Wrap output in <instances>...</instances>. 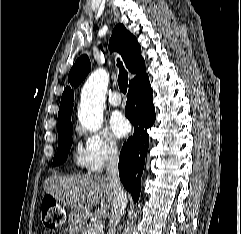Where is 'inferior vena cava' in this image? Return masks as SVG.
<instances>
[{"label":"inferior vena cava","instance_id":"obj_1","mask_svg":"<svg viewBox=\"0 0 241 234\" xmlns=\"http://www.w3.org/2000/svg\"><path fill=\"white\" fill-rule=\"evenodd\" d=\"M118 164V148L115 143H112L110 145L106 162V177L108 178L114 193V203L109 220L108 234H115L116 227L127 205V197L119 179Z\"/></svg>","mask_w":241,"mask_h":234}]
</instances>
